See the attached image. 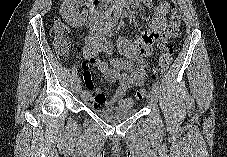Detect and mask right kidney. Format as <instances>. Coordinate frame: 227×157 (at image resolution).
Here are the masks:
<instances>
[{
	"mask_svg": "<svg viewBox=\"0 0 227 157\" xmlns=\"http://www.w3.org/2000/svg\"><path fill=\"white\" fill-rule=\"evenodd\" d=\"M60 12L62 17L70 25H78L79 20H81V16H78L75 13L73 1H64L63 5L61 6Z\"/></svg>",
	"mask_w": 227,
	"mask_h": 157,
	"instance_id": "right-kidney-1",
	"label": "right kidney"
}]
</instances>
